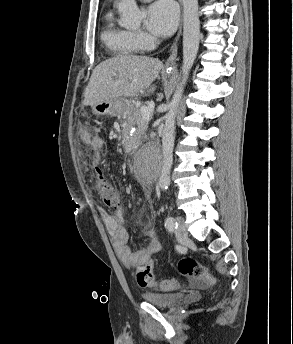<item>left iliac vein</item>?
Listing matches in <instances>:
<instances>
[{
  "instance_id": "left-iliac-vein-1",
  "label": "left iliac vein",
  "mask_w": 293,
  "mask_h": 344,
  "mask_svg": "<svg viewBox=\"0 0 293 344\" xmlns=\"http://www.w3.org/2000/svg\"><path fill=\"white\" fill-rule=\"evenodd\" d=\"M176 221L178 224L175 230L176 237L178 239H186L188 237V231L183 217L177 216Z\"/></svg>"
}]
</instances>
